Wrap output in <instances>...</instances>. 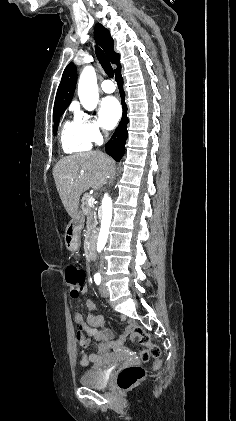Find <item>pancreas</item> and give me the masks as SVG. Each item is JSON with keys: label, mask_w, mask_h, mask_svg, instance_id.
Returning a JSON list of instances; mask_svg holds the SVG:
<instances>
[{"label": "pancreas", "mask_w": 236, "mask_h": 421, "mask_svg": "<svg viewBox=\"0 0 236 421\" xmlns=\"http://www.w3.org/2000/svg\"><path fill=\"white\" fill-rule=\"evenodd\" d=\"M88 196L89 194H87L86 192V194H84L82 198V211L84 215H86L87 217V223L90 229H92V231H95L96 225H97V219H96L95 211H92V208H90L89 206Z\"/></svg>", "instance_id": "cf45deb5"}]
</instances>
